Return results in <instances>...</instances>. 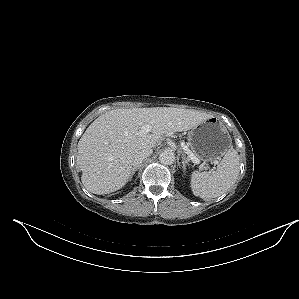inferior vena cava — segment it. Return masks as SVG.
<instances>
[{
    "mask_svg": "<svg viewBox=\"0 0 299 299\" xmlns=\"http://www.w3.org/2000/svg\"><path fill=\"white\" fill-rule=\"evenodd\" d=\"M153 153V150L151 148H147V149H143V150H139L137 151L132 158V165L134 167L139 166L142 161L149 157L151 154Z\"/></svg>",
    "mask_w": 299,
    "mask_h": 299,
    "instance_id": "1",
    "label": "inferior vena cava"
}]
</instances>
